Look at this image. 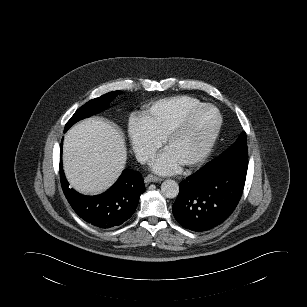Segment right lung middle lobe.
<instances>
[{
    "label": "right lung middle lobe",
    "mask_w": 307,
    "mask_h": 307,
    "mask_svg": "<svg viewBox=\"0 0 307 307\" xmlns=\"http://www.w3.org/2000/svg\"><path fill=\"white\" fill-rule=\"evenodd\" d=\"M120 93V91L109 92L84 104L74 113L71 119L67 122L64 132H66L68 128L72 126L75 122L103 111L105 108H107L113 97Z\"/></svg>",
    "instance_id": "1"
}]
</instances>
